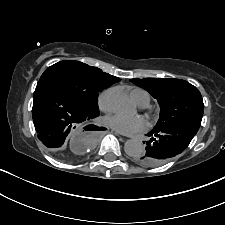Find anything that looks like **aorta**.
Wrapping results in <instances>:
<instances>
[{"label": "aorta", "mask_w": 225, "mask_h": 225, "mask_svg": "<svg viewBox=\"0 0 225 225\" xmlns=\"http://www.w3.org/2000/svg\"><path fill=\"white\" fill-rule=\"evenodd\" d=\"M108 103L111 109L117 113H125L132 108L129 97L120 88H115L110 91ZM124 150L128 156L137 157L144 152V146L137 140H128L124 144Z\"/></svg>", "instance_id": "762f6f07"}]
</instances>
